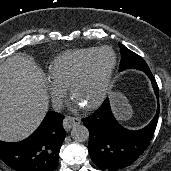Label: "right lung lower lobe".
Returning <instances> with one entry per match:
<instances>
[{
	"mask_svg": "<svg viewBox=\"0 0 171 171\" xmlns=\"http://www.w3.org/2000/svg\"><path fill=\"white\" fill-rule=\"evenodd\" d=\"M64 116L48 112L37 130L20 142L0 141V158L16 171H53L66 136Z\"/></svg>",
	"mask_w": 171,
	"mask_h": 171,
	"instance_id": "right-lung-lower-lobe-1",
	"label": "right lung lower lobe"
}]
</instances>
